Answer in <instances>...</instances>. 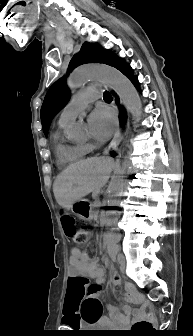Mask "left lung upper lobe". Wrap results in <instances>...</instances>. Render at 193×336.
I'll list each match as a JSON object with an SVG mask.
<instances>
[{
  "label": "left lung upper lobe",
  "instance_id": "1",
  "mask_svg": "<svg viewBox=\"0 0 193 336\" xmlns=\"http://www.w3.org/2000/svg\"><path fill=\"white\" fill-rule=\"evenodd\" d=\"M116 56L108 50H104L97 44L85 42L80 51L69 63L68 71H72L79 65L85 63H104L112 66ZM69 99V90L65 79L56 81L48 90L41 107V121L44 133L50 125L52 118L65 106Z\"/></svg>",
  "mask_w": 193,
  "mask_h": 336
}]
</instances>
